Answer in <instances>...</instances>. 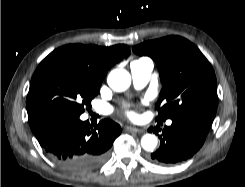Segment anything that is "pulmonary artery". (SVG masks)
<instances>
[{"mask_svg":"<svg viewBox=\"0 0 245 187\" xmlns=\"http://www.w3.org/2000/svg\"><path fill=\"white\" fill-rule=\"evenodd\" d=\"M153 68V61L149 58H142L131 63V76L136 88H143L149 82ZM170 124L171 121L168 122V125Z\"/></svg>","mask_w":245,"mask_h":187,"instance_id":"1","label":"pulmonary artery"}]
</instances>
